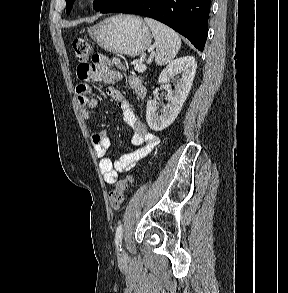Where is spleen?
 <instances>
[{
	"label": "spleen",
	"instance_id": "1",
	"mask_svg": "<svg viewBox=\"0 0 288 293\" xmlns=\"http://www.w3.org/2000/svg\"><path fill=\"white\" fill-rule=\"evenodd\" d=\"M157 43L155 62L157 65L170 63L181 47L179 35L168 26L150 18L144 19Z\"/></svg>",
	"mask_w": 288,
	"mask_h": 293
}]
</instances>
